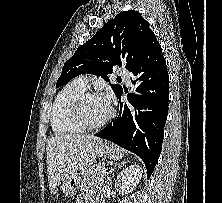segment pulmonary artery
<instances>
[{
  "label": "pulmonary artery",
  "mask_w": 222,
  "mask_h": 203,
  "mask_svg": "<svg viewBox=\"0 0 222 203\" xmlns=\"http://www.w3.org/2000/svg\"><path fill=\"white\" fill-rule=\"evenodd\" d=\"M118 75L121 76L127 83H130L131 74L127 70L120 69L118 71ZM75 81L84 88L88 86V79L85 76H80Z\"/></svg>",
  "instance_id": "obj_1"
}]
</instances>
